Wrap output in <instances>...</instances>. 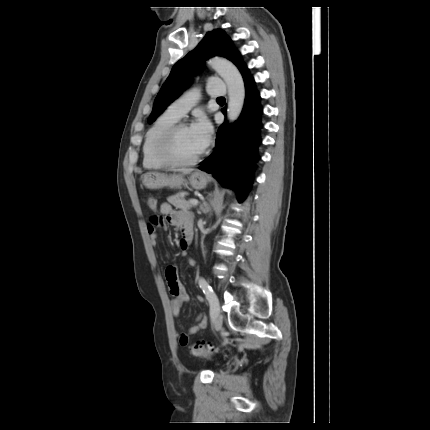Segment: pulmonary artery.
I'll use <instances>...</instances> for the list:
<instances>
[{
	"mask_svg": "<svg viewBox=\"0 0 430 430\" xmlns=\"http://www.w3.org/2000/svg\"><path fill=\"white\" fill-rule=\"evenodd\" d=\"M207 92L211 96H223L226 94V86L218 79H210L207 84ZM200 96V88L191 87L168 107V111L177 117H182L198 103Z\"/></svg>",
	"mask_w": 430,
	"mask_h": 430,
	"instance_id": "pulmonary-artery-1",
	"label": "pulmonary artery"
}]
</instances>
